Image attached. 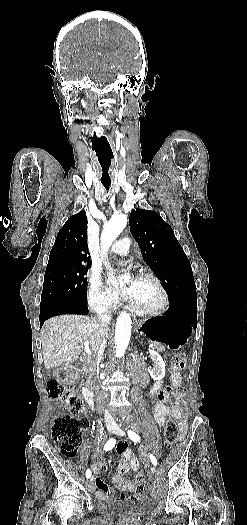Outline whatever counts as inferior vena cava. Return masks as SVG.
Instances as JSON below:
<instances>
[{
  "instance_id": "obj_1",
  "label": "inferior vena cava",
  "mask_w": 247,
  "mask_h": 525,
  "mask_svg": "<svg viewBox=\"0 0 247 525\" xmlns=\"http://www.w3.org/2000/svg\"><path fill=\"white\" fill-rule=\"evenodd\" d=\"M110 303H104V301H99V303H96L95 305V313L96 317L102 325V327H105V325H108L112 319L111 311H110ZM106 347V339L104 337H101L98 341V351H97V369L99 367L100 361L103 359L104 351Z\"/></svg>"
}]
</instances>
